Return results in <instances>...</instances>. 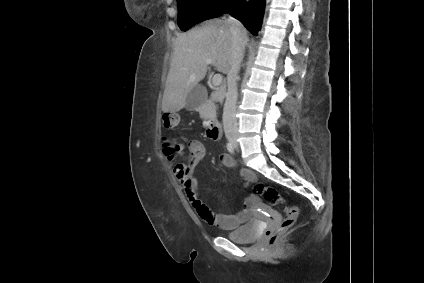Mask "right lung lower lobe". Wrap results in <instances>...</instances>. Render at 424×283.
<instances>
[{"label": "right lung lower lobe", "instance_id": "obj_1", "mask_svg": "<svg viewBox=\"0 0 424 283\" xmlns=\"http://www.w3.org/2000/svg\"><path fill=\"white\" fill-rule=\"evenodd\" d=\"M264 7L265 0H234L227 12L240 20L256 36L262 24Z\"/></svg>", "mask_w": 424, "mask_h": 283}]
</instances>
